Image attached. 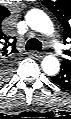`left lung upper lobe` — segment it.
Segmentation results:
<instances>
[{
	"label": "left lung upper lobe",
	"mask_w": 71,
	"mask_h": 119,
	"mask_svg": "<svg viewBox=\"0 0 71 119\" xmlns=\"http://www.w3.org/2000/svg\"><path fill=\"white\" fill-rule=\"evenodd\" d=\"M42 4L47 7L61 22L64 28V43L67 39H71V0H43ZM64 54L71 57V51L66 50ZM62 65L71 67V60L64 59Z\"/></svg>",
	"instance_id": "5c2ea615"
}]
</instances>
